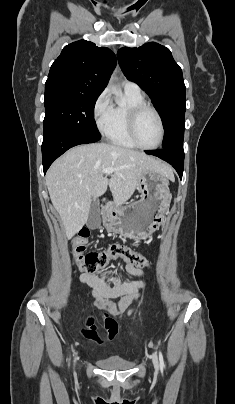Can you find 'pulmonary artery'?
Segmentation results:
<instances>
[{
	"label": "pulmonary artery",
	"instance_id": "pulmonary-artery-1",
	"mask_svg": "<svg viewBox=\"0 0 235 404\" xmlns=\"http://www.w3.org/2000/svg\"><path fill=\"white\" fill-rule=\"evenodd\" d=\"M123 88L125 91L127 92H133V93H140V87L134 83V82H130V81H125L123 83Z\"/></svg>",
	"mask_w": 235,
	"mask_h": 404
}]
</instances>
